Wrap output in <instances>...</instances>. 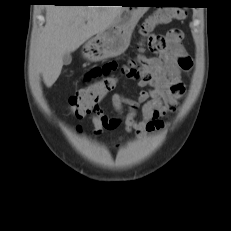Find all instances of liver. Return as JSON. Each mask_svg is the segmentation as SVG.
<instances>
[{"label": "liver", "instance_id": "6515ba94", "mask_svg": "<svg viewBox=\"0 0 231 231\" xmlns=\"http://www.w3.org/2000/svg\"><path fill=\"white\" fill-rule=\"evenodd\" d=\"M122 6H55L46 8V25L39 37L35 61L47 87L58 79L63 55L77 50L103 32L122 11Z\"/></svg>", "mask_w": 231, "mask_h": 231}]
</instances>
